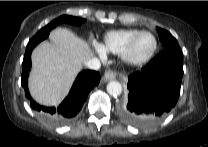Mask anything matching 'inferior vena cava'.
<instances>
[{
	"label": "inferior vena cava",
	"instance_id": "602c4592",
	"mask_svg": "<svg viewBox=\"0 0 208 147\" xmlns=\"http://www.w3.org/2000/svg\"><path fill=\"white\" fill-rule=\"evenodd\" d=\"M85 66L89 69L98 70L101 64L98 58L93 57L85 62Z\"/></svg>",
	"mask_w": 208,
	"mask_h": 147
}]
</instances>
